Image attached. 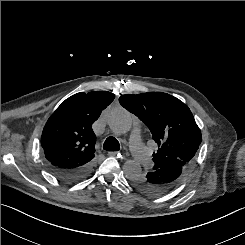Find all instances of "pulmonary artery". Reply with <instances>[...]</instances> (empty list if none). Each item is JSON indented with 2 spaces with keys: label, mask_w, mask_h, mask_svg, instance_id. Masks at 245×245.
I'll return each instance as SVG.
<instances>
[{
  "label": "pulmonary artery",
  "mask_w": 245,
  "mask_h": 245,
  "mask_svg": "<svg viewBox=\"0 0 245 245\" xmlns=\"http://www.w3.org/2000/svg\"><path fill=\"white\" fill-rule=\"evenodd\" d=\"M131 149L135 159L145 168L152 166V159L148 149L141 142L140 129L134 128L131 132Z\"/></svg>",
  "instance_id": "e3ab8cb5"
}]
</instances>
